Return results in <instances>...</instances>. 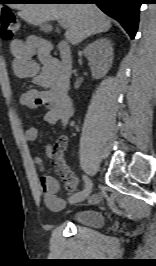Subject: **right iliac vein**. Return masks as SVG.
<instances>
[{
	"label": "right iliac vein",
	"mask_w": 156,
	"mask_h": 266,
	"mask_svg": "<svg viewBox=\"0 0 156 266\" xmlns=\"http://www.w3.org/2000/svg\"><path fill=\"white\" fill-rule=\"evenodd\" d=\"M87 182H89L88 186H85L81 192H78L69 198V202L71 204L81 202V201L85 200L90 195L93 184H92L91 179H88Z\"/></svg>",
	"instance_id": "1"
}]
</instances>
